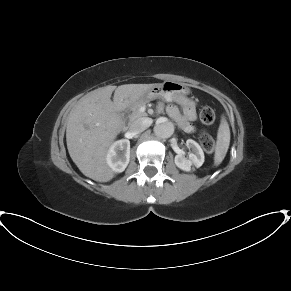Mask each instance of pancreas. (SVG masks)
<instances>
[{
	"instance_id": "1",
	"label": "pancreas",
	"mask_w": 291,
	"mask_h": 291,
	"mask_svg": "<svg viewBox=\"0 0 291 291\" xmlns=\"http://www.w3.org/2000/svg\"><path fill=\"white\" fill-rule=\"evenodd\" d=\"M147 102H148V100L141 99V100L135 102L134 104H132V105L130 106V108H129L130 111H131V113H130V115H129V119H130V121H133V120H135V119H138V118H141V117H143V116H146V113L141 112V111H140V108H141L142 106L146 105Z\"/></svg>"
}]
</instances>
